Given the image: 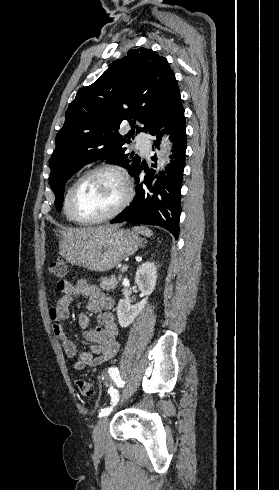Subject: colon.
Masks as SVG:
<instances>
[{"instance_id": "obj_1", "label": "colon", "mask_w": 279, "mask_h": 490, "mask_svg": "<svg viewBox=\"0 0 279 490\" xmlns=\"http://www.w3.org/2000/svg\"><path fill=\"white\" fill-rule=\"evenodd\" d=\"M50 273L58 278H64L67 273V264L65 260L60 259L57 261H53L49 267ZM55 327V326H54ZM76 386L79 391V394L86 398L91 399L94 395V389L91 383L83 377H78L76 379Z\"/></svg>"}]
</instances>
